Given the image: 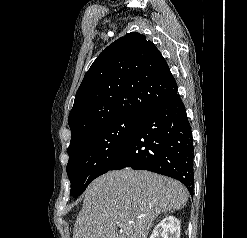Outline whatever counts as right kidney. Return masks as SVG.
Returning a JSON list of instances; mask_svg holds the SVG:
<instances>
[{"label":"right kidney","mask_w":247,"mask_h":238,"mask_svg":"<svg viewBox=\"0 0 247 238\" xmlns=\"http://www.w3.org/2000/svg\"><path fill=\"white\" fill-rule=\"evenodd\" d=\"M150 238H180V221L173 217H165L154 228Z\"/></svg>","instance_id":"obj_1"}]
</instances>
